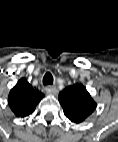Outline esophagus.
<instances>
[{"instance_id":"1","label":"esophagus","mask_w":118,"mask_h":142,"mask_svg":"<svg viewBox=\"0 0 118 142\" xmlns=\"http://www.w3.org/2000/svg\"><path fill=\"white\" fill-rule=\"evenodd\" d=\"M45 91H46L48 94H51V95H56L57 92H58L57 88H56L55 86H51V85L47 86V87L45 88Z\"/></svg>"}]
</instances>
